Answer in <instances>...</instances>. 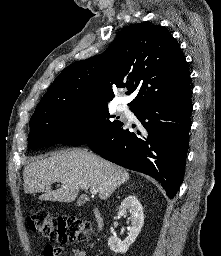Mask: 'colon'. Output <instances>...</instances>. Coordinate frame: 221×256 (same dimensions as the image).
<instances>
[{"instance_id":"1","label":"colon","mask_w":221,"mask_h":256,"mask_svg":"<svg viewBox=\"0 0 221 256\" xmlns=\"http://www.w3.org/2000/svg\"><path fill=\"white\" fill-rule=\"evenodd\" d=\"M27 225L31 231L37 232L51 241L46 251L58 255L59 245L70 242H87L90 224L74 217L54 218L45 209H39L27 217Z\"/></svg>"}]
</instances>
